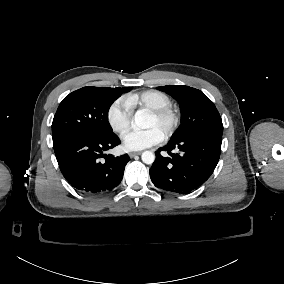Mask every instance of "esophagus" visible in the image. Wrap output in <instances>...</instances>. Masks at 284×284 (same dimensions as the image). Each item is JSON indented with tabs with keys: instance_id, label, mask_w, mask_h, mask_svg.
<instances>
[{
	"instance_id": "34e87169",
	"label": "esophagus",
	"mask_w": 284,
	"mask_h": 284,
	"mask_svg": "<svg viewBox=\"0 0 284 284\" xmlns=\"http://www.w3.org/2000/svg\"><path fill=\"white\" fill-rule=\"evenodd\" d=\"M141 153H142L141 151L140 152H130L129 156H130V158H133L134 156L139 155Z\"/></svg>"
}]
</instances>
